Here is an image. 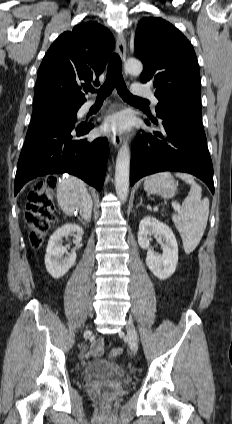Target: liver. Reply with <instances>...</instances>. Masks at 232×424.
Instances as JSON below:
<instances>
[{
  "mask_svg": "<svg viewBox=\"0 0 232 424\" xmlns=\"http://www.w3.org/2000/svg\"><path fill=\"white\" fill-rule=\"evenodd\" d=\"M85 194H88L85 183L75 176L63 178L57 187V201L66 215L77 212Z\"/></svg>",
  "mask_w": 232,
  "mask_h": 424,
  "instance_id": "obj_1",
  "label": "liver"
}]
</instances>
